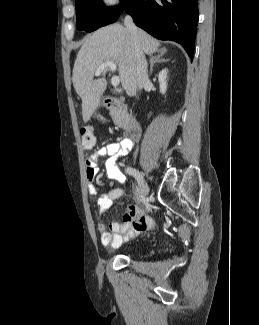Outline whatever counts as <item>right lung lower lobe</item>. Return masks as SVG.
Here are the masks:
<instances>
[{"label":"right lung lower lobe","mask_w":259,"mask_h":325,"mask_svg":"<svg viewBox=\"0 0 259 325\" xmlns=\"http://www.w3.org/2000/svg\"><path fill=\"white\" fill-rule=\"evenodd\" d=\"M124 10L138 27L158 39L180 43L193 58L198 0H127Z\"/></svg>","instance_id":"98d812e1"}]
</instances>
